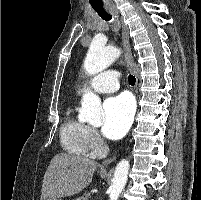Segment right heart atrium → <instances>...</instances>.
Masks as SVG:
<instances>
[{
    "label": "right heart atrium",
    "instance_id": "1",
    "mask_svg": "<svg viewBox=\"0 0 201 200\" xmlns=\"http://www.w3.org/2000/svg\"><path fill=\"white\" fill-rule=\"evenodd\" d=\"M87 140L89 148L93 150L95 153L100 152L101 149L104 147L103 140L99 136L96 129L93 127L87 128Z\"/></svg>",
    "mask_w": 201,
    "mask_h": 200
}]
</instances>
